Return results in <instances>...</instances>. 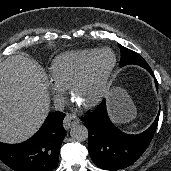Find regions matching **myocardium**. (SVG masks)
Here are the masks:
<instances>
[{"label":"myocardium","mask_w":171,"mask_h":171,"mask_svg":"<svg viewBox=\"0 0 171 171\" xmlns=\"http://www.w3.org/2000/svg\"><path fill=\"white\" fill-rule=\"evenodd\" d=\"M105 51H108L111 53L112 63L110 64V66L106 69V71L102 75L101 82H100V88H99L97 95L93 99H91L89 102L81 104L82 107H84L86 109H89V108H92V107L98 105L106 96V93L108 91V86H109V80L111 78V75L115 69L116 62H117L115 52L108 47H103V48L95 50V52L91 55V57L86 61L84 66L74 76V78L72 79V81L69 85L70 95L72 98H74V94H75V90H76L77 86L86 78V76L88 75L97 56L100 53L105 52Z\"/></svg>","instance_id":"1"}]
</instances>
